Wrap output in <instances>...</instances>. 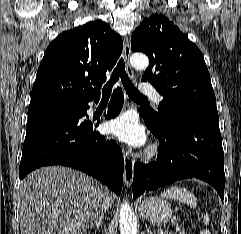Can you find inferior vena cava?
<instances>
[{
    "label": "inferior vena cava",
    "mask_w": 241,
    "mask_h": 234,
    "mask_svg": "<svg viewBox=\"0 0 241 234\" xmlns=\"http://www.w3.org/2000/svg\"><path fill=\"white\" fill-rule=\"evenodd\" d=\"M110 197L106 195L102 202V210H106L109 207Z\"/></svg>",
    "instance_id": "1"
}]
</instances>
